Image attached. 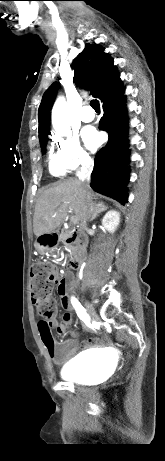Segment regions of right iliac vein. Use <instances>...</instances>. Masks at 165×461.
<instances>
[{
  "instance_id": "right-iliac-vein-1",
  "label": "right iliac vein",
  "mask_w": 165,
  "mask_h": 461,
  "mask_svg": "<svg viewBox=\"0 0 165 461\" xmlns=\"http://www.w3.org/2000/svg\"><path fill=\"white\" fill-rule=\"evenodd\" d=\"M84 305L86 307L87 312L91 316V318L93 320H97V313H96L95 309L93 308V306L90 303H88L87 301H84Z\"/></svg>"
}]
</instances>
